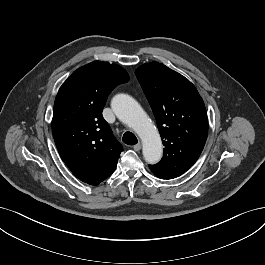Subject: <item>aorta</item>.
Instances as JSON below:
<instances>
[{
  "instance_id": "aorta-1",
  "label": "aorta",
  "mask_w": 265,
  "mask_h": 265,
  "mask_svg": "<svg viewBox=\"0 0 265 265\" xmlns=\"http://www.w3.org/2000/svg\"><path fill=\"white\" fill-rule=\"evenodd\" d=\"M111 107L117 118L141 138L145 161L149 164L159 162L163 153L161 137L140 104L127 94H117L111 101Z\"/></svg>"
}]
</instances>
